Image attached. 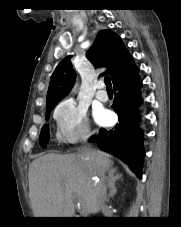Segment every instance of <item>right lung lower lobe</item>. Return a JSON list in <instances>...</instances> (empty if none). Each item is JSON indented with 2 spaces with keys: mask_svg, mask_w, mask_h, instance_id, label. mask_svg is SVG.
<instances>
[{
  "mask_svg": "<svg viewBox=\"0 0 181 227\" xmlns=\"http://www.w3.org/2000/svg\"><path fill=\"white\" fill-rule=\"evenodd\" d=\"M112 82L117 92L112 108L118 114L119 123L112 130L106 131L101 128L98 135L91 141L97 142L100 149L119 157L138 177H141L145 155L143 135L138 126L142 82L139 69L131 55L125 58L119 73Z\"/></svg>",
  "mask_w": 181,
  "mask_h": 227,
  "instance_id": "obj_1",
  "label": "right lung lower lobe"
}]
</instances>
